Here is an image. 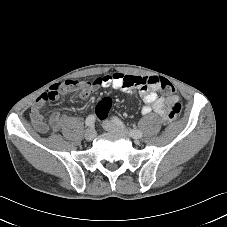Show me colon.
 <instances>
[{
  "label": "colon",
  "mask_w": 227,
  "mask_h": 227,
  "mask_svg": "<svg viewBox=\"0 0 227 227\" xmlns=\"http://www.w3.org/2000/svg\"><path fill=\"white\" fill-rule=\"evenodd\" d=\"M155 83L159 85L160 89L165 94H172L175 91L173 85L165 78H159ZM111 105H112L111 100L108 97L100 100L96 109L98 117L99 118L106 117L111 108Z\"/></svg>",
  "instance_id": "colon-1"
}]
</instances>
